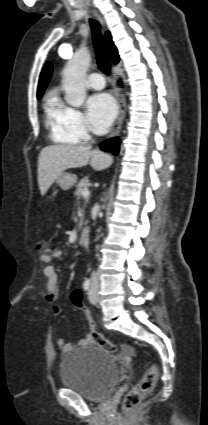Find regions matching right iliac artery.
<instances>
[{
	"instance_id": "obj_1",
	"label": "right iliac artery",
	"mask_w": 208,
	"mask_h": 425,
	"mask_svg": "<svg viewBox=\"0 0 208 425\" xmlns=\"http://www.w3.org/2000/svg\"><path fill=\"white\" fill-rule=\"evenodd\" d=\"M90 286H91V280H90V279H86V280L84 281V283H83V288H84L85 290H89Z\"/></svg>"
}]
</instances>
